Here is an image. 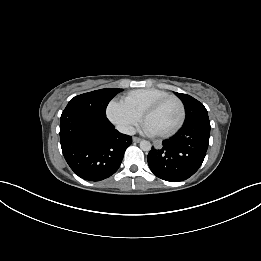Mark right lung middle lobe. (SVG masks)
Masks as SVG:
<instances>
[{"label": "right lung middle lobe", "mask_w": 261, "mask_h": 261, "mask_svg": "<svg viewBox=\"0 0 261 261\" xmlns=\"http://www.w3.org/2000/svg\"><path fill=\"white\" fill-rule=\"evenodd\" d=\"M123 89L107 88L100 89L72 98L64 111H82L85 113L106 116V107L109 101Z\"/></svg>", "instance_id": "dd1d6c3e"}]
</instances>
